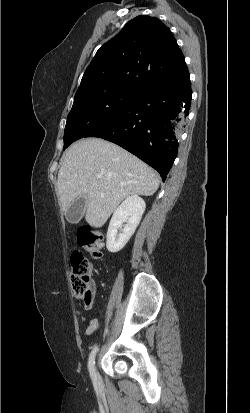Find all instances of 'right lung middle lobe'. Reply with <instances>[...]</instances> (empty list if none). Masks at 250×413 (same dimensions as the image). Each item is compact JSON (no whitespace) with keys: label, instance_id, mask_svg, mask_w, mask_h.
I'll return each mask as SVG.
<instances>
[{"label":"right lung middle lobe","instance_id":"dd1d6c3e","mask_svg":"<svg viewBox=\"0 0 250 413\" xmlns=\"http://www.w3.org/2000/svg\"><path fill=\"white\" fill-rule=\"evenodd\" d=\"M140 92L130 86H102L77 91L67 118L64 149L113 119Z\"/></svg>","mask_w":250,"mask_h":413}]
</instances>
